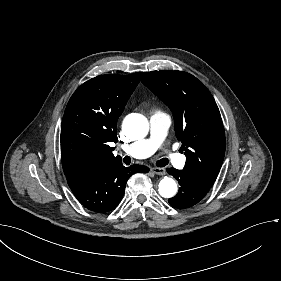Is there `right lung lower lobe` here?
Returning a JSON list of instances; mask_svg holds the SVG:
<instances>
[{
	"mask_svg": "<svg viewBox=\"0 0 281 281\" xmlns=\"http://www.w3.org/2000/svg\"><path fill=\"white\" fill-rule=\"evenodd\" d=\"M148 171L146 166L132 165L127 168L120 163L104 167L88 176L67 178V181L83 206L96 213H106L120 203L129 177L137 172Z\"/></svg>",
	"mask_w": 281,
	"mask_h": 281,
	"instance_id": "1",
	"label": "right lung lower lobe"
}]
</instances>
